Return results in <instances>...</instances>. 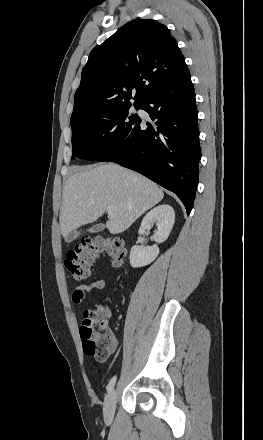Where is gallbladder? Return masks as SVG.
Returning <instances> with one entry per match:
<instances>
[{
	"label": "gallbladder",
	"instance_id": "gallbladder-1",
	"mask_svg": "<svg viewBox=\"0 0 263 440\" xmlns=\"http://www.w3.org/2000/svg\"><path fill=\"white\" fill-rule=\"evenodd\" d=\"M104 224H97V225H94V226H92L90 229H88L87 231L88 232H90V233H97V232H100V231H102L103 229H104ZM80 234H81V231H74V232H71L67 237H66V239H65V241L67 242V243H71L72 241H74L75 239H77L79 236H80Z\"/></svg>",
	"mask_w": 263,
	"mask_h": 440
}]
</instances>
